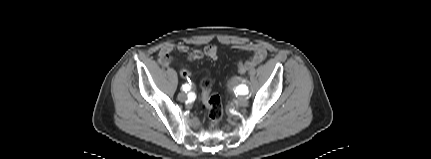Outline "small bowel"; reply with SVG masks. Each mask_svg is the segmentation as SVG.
<instances>
[{
  "label": "small bowel",
  "instance_id": "c3829d8e",
  "mask_svg": "<svg viewBox=\"0 0 431 159\" xmlns=\"http://www.w3.org/2000/svg\"><path fill=\"white\" fill-rule=\"evenodd\" d=\"M235 49L238 50H244V51H251L253 52V56L246 62H243L246 71L254 68L261 62H263L267 56L266 49L260 45V44H254V43H244L234 46ZM189 47L184 43H169L164 45L159 54H158V62L160 65L164 67H168L173 63V57L171 56V53L173 51H177L180 53H186L188 52ZM204 56H207L211 59H217L218 57V48L214 45H209L204 48V50H193L188 55L189 61H195L198 59L203 58Z\"/></svg>",
  "mask_w": 431,
  "mask_h": 159
}]
</instances>
